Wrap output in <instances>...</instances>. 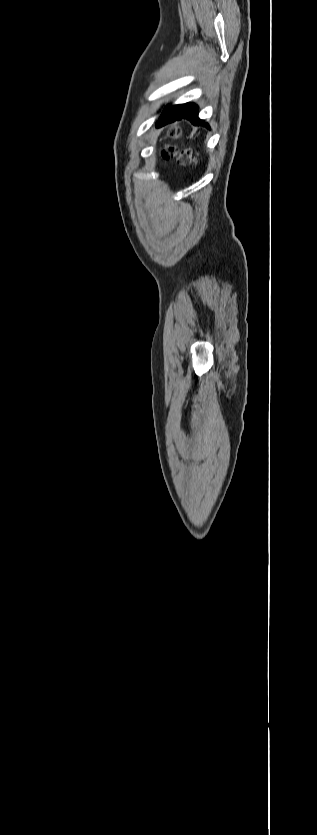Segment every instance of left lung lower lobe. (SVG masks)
I'll use <instances>...</instances> for the list:
<instances>
[{"label":"left lung lower lobe","instance_id":"obj_1","mask_svg":"<svg viewBox=\"0 0 317 835\" xmlns=\"http://www.w3.org/2000/svg\"><path fill=\"white\" fill-rule=\"evenodd\" d=\"M182 119L189 120L193 125L210 128L204 120L198 117V106L193 103L166 106L156 122V127H162Z\"/></svg>","mask_w":317,"mask_h":835}]
</instances>
